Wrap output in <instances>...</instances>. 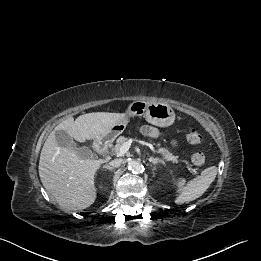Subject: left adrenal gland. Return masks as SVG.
Segmentation results:
<instances>
[{"label": "left adrenal gland", "instance_id": "obj_1", "mask_svg": "<svg viewBox=\"0 0 261 261\" xmlns=\"http://www.w3.org/2000/svg\"><path fill=\"white\" fill-rule=\"evenodd\" d=\"M149 162H151L152 164H154V166L158 163H162L164 164L163 160H161L160 158H154V157H150Z\"/></svg>", "mask_w": 261, "mask_h": 261}]
</instances>
